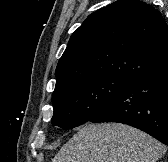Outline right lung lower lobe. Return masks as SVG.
<instances>
[{
  "label": "right lung lower lobe",
  "mask_w": 168,
  "mask_h": 162,
  "mask_svg": "<svg viewBox=\"0 0 168 162\" xmlns=\"http://www.w3.org/2000/svg\"><path fill=\"white\" fill-rule=\"evenodd\" d=\"M90 122L128 124L168 146V64L130 81Z\"/></svg>",
  "instance_id": "obj_1"
}]
</instances>
